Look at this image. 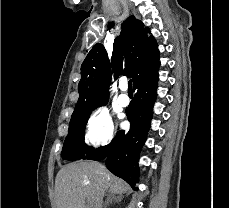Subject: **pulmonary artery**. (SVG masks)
Returning a JSON list of instances; mask_svg holds the SVG:
<instances>
[{
    "label": "pulmonary artery",
    "mask_w": 229,
    "mask_h": 208,
    "mask_svg": "<svg viewBox=\"0 0 229 208\" xmlns=\"http://www.w3.org/2000/svg\"><path fill=\"white\" fill-rule=\"evenodd\" d=\"M127 81L125 79H123L121 82H120V89L122 91L121 95L119 96L118 100H119V103L122 105V106H127L129 104V97L126 93V90H127Z\"/></svg>",
    "instance_id": "pulmonary-artery-1"
}]
</instances>
